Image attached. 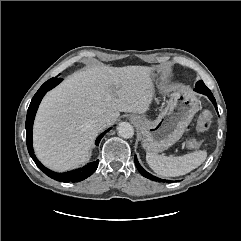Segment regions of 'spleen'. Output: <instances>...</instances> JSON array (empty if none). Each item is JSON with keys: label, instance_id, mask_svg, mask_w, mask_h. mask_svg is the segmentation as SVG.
Instances as JSON below:
<instances>
[{"label": "spleen", "instance_id": "obj_1", "mask_svg": "<svg viewBox=\"0 0 241 241\" xmlns=\"http://www.w3.org/2000/svg\"><path fill=\"white\" fill-rule=\"evenodd\" d=\"M207 158L206 151H196L178 157H165L147 152L146 160L150 168L160 176L176 177L189 173Z\"/></svg>", "mask_w": 241, "mask_h": 241}]
</instances>
